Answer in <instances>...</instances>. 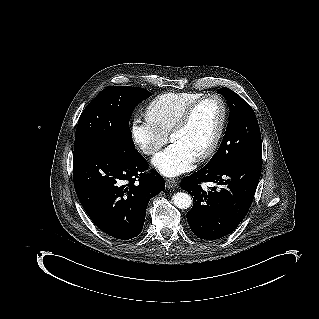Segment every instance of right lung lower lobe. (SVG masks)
<instances>
[{"label":"right lung lower lobe","instance_id":"1","mask_svg":"<svg viewBox=\"0 0 319 319\" xmlns=\"http://www.w3.org/2000/svg\"><path fill=\"white\" fill-rule=\"evenodd\" d=\"M136 149L93 145L74 150V187L86 213L106 234L127 240L143 229L150 199L165 189L163 177L144 171Z\"/></svg>","mask_w":319,"mask_h":319}]
</instances>
